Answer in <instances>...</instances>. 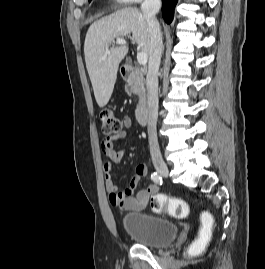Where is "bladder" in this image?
Listing matches in <instances>:
<instances>
[{"label":"bladder","mask_w":265,"mask_h":269,"mask_svg":"<svg viewBox=\"0 0 265 269\" xmlns=\"http://www.w3.org/2000/svg\"><path fill=\"white\" fill-rule=\"evenodd\" d=\"M122 228L136 243L151 248L171 244L178 235V227L171 221L142 212L127 213L122 217Z\"/></svg>","instance_id":"31cf9c89"}]
</instances>
